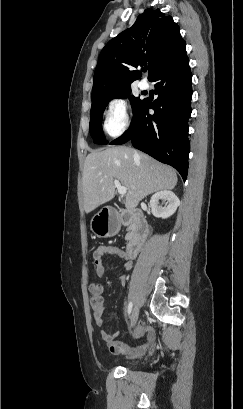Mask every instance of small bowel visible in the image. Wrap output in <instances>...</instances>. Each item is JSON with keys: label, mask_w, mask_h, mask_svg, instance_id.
<instances>
[{"label": "small bowel", "mask_w": 243, "mask_h": 409, "mask_svg": "<svg viewBox=\"0 0 243 409\" xmlns=\"http://www.w3.org/2000/svg\"><path fill=\"white\" fill-rule=\"evenodd\" d=\"M107 256H112L124 260L123 269L130 270L132 268V262L127 253L121 248L111 245L98 246L93 252V263L96 269L97 277L101 278L104 275L105 268L103 266V259ZM118 280L121 284L126 282V276L120 275ZM104 311L105 307L98 310H94V320L98 327L104 325ZM146 335L145 342L140 344H127L119 343L115 340L116 334H109L105 331L101 332L102 339L107 343L108 350L116 355H125L130 359H135L143 355H152L157 348L158 338L154 330L149 329L145 325L138 327L135 333V340H140Z\"/></svg>", "instance_id": "c3829d8e"}]
</instances>
